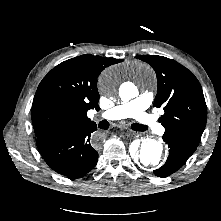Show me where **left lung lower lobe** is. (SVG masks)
I'll list each match as a JSON object with an SVG mask.
<instances>
[{"label": "left lung lower lobe", "instance_id": "0a47b994", "mask_svg": "<svg viewBox=\"0 0 221 221\" xmlns=\"http://www.w3.org/2000/svg\"><path fill=\"white\" fill-rule=\"evenodd\" d=\"M163 140L168 144L169 156L166 163L154 170L158 177H167L181 168L196 150L198 144L172 135H163Z\"/></svg>", "mask_w": 221, "mask_h": 221}]
</instances>
